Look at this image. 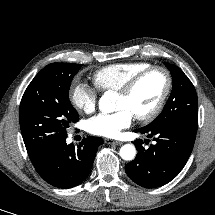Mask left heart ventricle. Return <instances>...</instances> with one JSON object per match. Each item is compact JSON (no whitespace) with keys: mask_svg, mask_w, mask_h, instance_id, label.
<instances>
[{"mask_svg":"<svg viewBox=\"0 0 215 215\" xmlns=\"http://www.w3.org/2000/svg\"><path fill=\"white\" fill-rule=\"evenodd\" d=\"M166 80L161 72H153L145 77L129 96L118 94L116 108L128 109L133 116L149 112L160 99Z\"/></svg>","mask_w":215,"mask_h":215,"instance_id":"b2bd125f","label":"left heart ventricle"}]
</instances>
